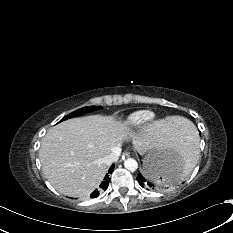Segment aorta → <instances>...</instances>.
Here are the masks:
<instances>
[{
	"instance_id": "aorta-1",
	"label": "aorta",
	"mask_w": 233,
	"mask_h": 233,
	"mask_svg": "<svg viewBox=\"0 0 233 233\" xmlns=\"http://www.w3.org/2000/svg\"><path fill=\"white\" fill-rule=\"evenodd\" d=\"M124 167L129 171H136L138 168V163L133 158H128L124 161Z\"/></svg>"
}]
</instances>
